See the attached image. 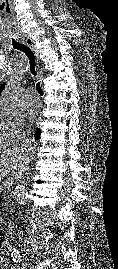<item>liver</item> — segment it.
I'll list each match as a JSON object with an SVG mask.
<instances>
[{
  "instance_id": "obj_1",
  "label": "liver",
  "mask_w": 118,
  "mask_h": 269,
  "mask_svg": "<svg viewBox=\"0 0 118 269\" xmlns=\"http://www.w3.org/2000/svg\"><path fill=\"white\" fill-rule=\"evenodd\" d=\"M26 151L23 148L0 150V180L10 171L22 173L25 170Z\"/></svg>"
}]
</instances>
